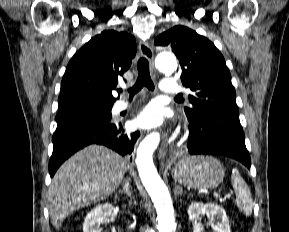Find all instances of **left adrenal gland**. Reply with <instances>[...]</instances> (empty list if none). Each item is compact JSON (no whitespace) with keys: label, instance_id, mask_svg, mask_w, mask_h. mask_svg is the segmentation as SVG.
Wrapping results in <instances>:
<instances>
[{"label":"left adrenal gland","instance_id":"1","mask_svg":"<svg viewBox=\"0 0 289 232\" xmlns=\"http://www.w3.org/2000/svg\"><path fill=\"white\" fill-rule=\"evenodd\" d=\"M183 193V188L180 187L179 185H176L174 188V195L179 196Z\"/></svg>","mask_w":289,"mask_h":232}]
</instances>
